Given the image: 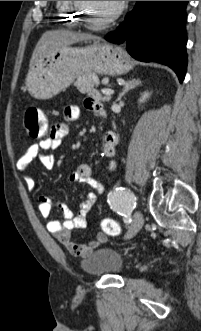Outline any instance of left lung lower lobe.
Returning a JSON list of instances; mask_svg holds the SVG:
<instances>
[{
    "mask_svg": "<svg viewBox=\"0 0 201 331\" xmlns=\"http://www.w3.org/2000/svg\"><path fill=\"white\" fill-rule=\"evenodd\" d=\"M188 1H136L117 31L105 39L125 43L128 53L143 62L172 68L180 82L187 67L185 29Z\"/></svg>",
    "mask_w": 201,
    "mask_h": 331,
    "instance_id": "1",
    "label": "left lung lower lobe"
}]
</instances>
